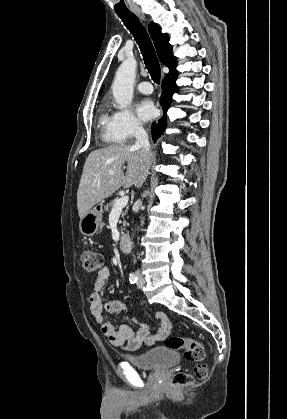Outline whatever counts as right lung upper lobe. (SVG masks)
<instances>
[{
	"mask_svg": "<svg viewBox=\"0 0 287 419\" xmlns=\"http://www.w3.org/2000/svg\"><path fill=\"white\" fill-rule=\"evenodd\" d=\"M149 33L154 41L160 61L164 63L169 69L170 73L176 72L177 64L176 58L172 55V46L169 44V37L166 33L161 32V28L155 24H149ZM102 90L100 91V93Z\"/></svg>",
	"mask_w": 287,
	"mask_h": 419,
	"instance_id": "obj_1",
	"label": "right lung upper lobe"
}]
</instances>
